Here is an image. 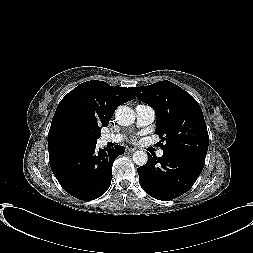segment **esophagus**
<instances>
[{
  "mask_svg": "<svg viewBox=\"0 0 253 253\" xmlns=\"http://www.w3.org/2000/svg\"><path fill=\"white\" fill-rule=\"evenodd\" d=\"M127 151L132 153V152L136 151V148L129 147V148H127Z\"/></svg>",
  "mask_w": 253,
  "mask_h": 253,
  "instance_id": "1",
  "label": "esophagus"
}]
</instances>
